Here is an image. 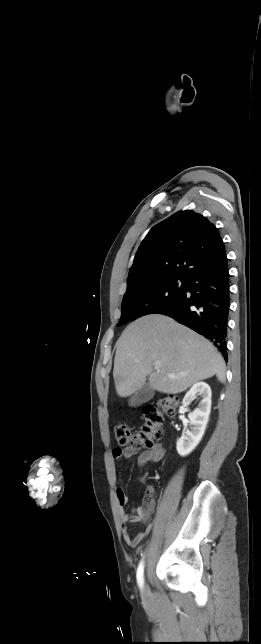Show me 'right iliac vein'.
<instances>
[{"label": "right iliac vein", "mask_w": 261, "mask_h": 644, "mask_svg": "<svg viewBox=\"0 0 261 644\" xmlns=\"http://www.w3.org/2000/svg\"><path fill=\"white\" fill-rule=\"evenodd\" d=\"M142 595H143L144 598H146L148 596V591H147L146 587L143 589Z\"/></svg>", "instance_id": "63e3f726"}]
</instances>
